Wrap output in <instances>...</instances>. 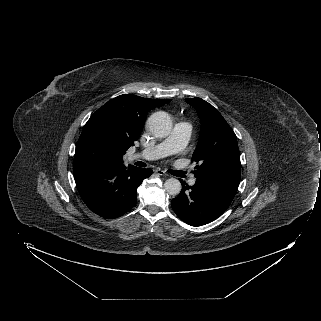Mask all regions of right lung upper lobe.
<instances>
[{
  "label": "right lung upper lobe",
  "instance_id": "right-lung-upper-lobe-1",
  "mask_svg": "<svg viewBox=\"0 0 321 321\" xmlns=\"http://www.w3.org/2000/svg\"><path fill=\"white\" fill-rule=\"evenodd\" d=\"M170 99H149L132 94L120 95L99 108L87 121L83 132L98 130L116 146L118 160L139 138L142 124L148 112L170 102Z\"/></svg>",
  "mask_w": 321,
  "mask_h": 321
}]
</instances>
